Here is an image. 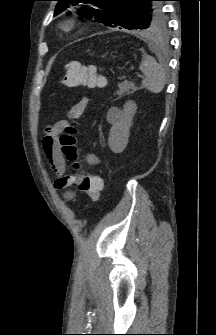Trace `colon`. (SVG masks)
Wrapping results in <instances>:
<instances>
[{"label":"colon","instance_id":"5ec220e1","mask_svg":"<svg viewBox=\"0 0 216 335\" xmlns=\"http://www.w3.org/2000/svg\"><path fill=\"white\" fill-rule=\"evenodd\" d=\"M65 70L63 83L67 86L101 87L105 84L104 77L98 73L99 69L95 65H83L80 62L71 61L66 64ZM76 134V124L65 127L59 138L61 152L71 164L79 190L84 192L93 202H98L102 195L103 179L100 176L86 173L82 169L78 162Z\"/></svg>","mask_w":216,"mask_h":335}]
</instances>
